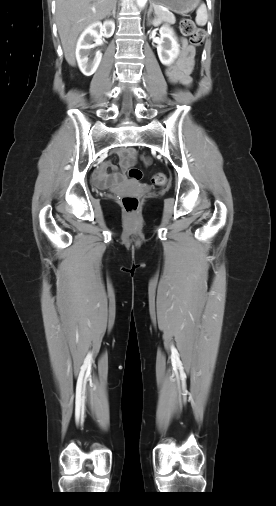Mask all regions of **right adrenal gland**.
Returning a JSON list of instances; mask_svg holds the SVG:
<instances>
[{
    "instance_id": "1",
    "label": "right adrenal gland",
    "mask_w": 276,
    "mask_h": 506,
    "mask_svg": "<svg viewBox=\"0 0 276 506\" xmlns=\"http://www.w3.org/2000/svg\"><path fill=\"white\" fill-rule=\"evenodd\" d=\"M110 15H113V17H114V18H115V16H116V2H115V4H114V6H113L112 13H110V14H109V16H110Z\"/></svg>"
}]
</instances>
